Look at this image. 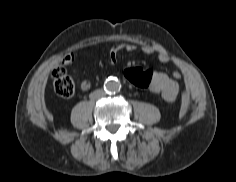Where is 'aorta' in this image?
<instances>
[{
  "label": "aorta",
  "mask_w": 236,
  "mask_h": 182,
  "mask_svg": "<svg viewBox=\"0 0 236 182\" xmlns=\"http://www.w3.org/2000/svg\"><path fill=\"white\" fill-rule=\"evenodd\" d=\"M105 90L110 93H116L120 90L121 84L117 79H108L104 84Z\"/></svg>",
  "instance_id": "aorta-1"
}]
</instances>
